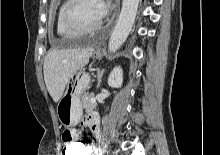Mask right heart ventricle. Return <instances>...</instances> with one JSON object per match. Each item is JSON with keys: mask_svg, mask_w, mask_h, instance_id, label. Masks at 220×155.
<instances>
[{"mask_svg": "<svg viewBox=\"0 0 220 155\" xmlns=\"http://www.w3.org/2000/svg\"><path fill=\"white\" fill-rule=\"evenodd\" d=\"M67 3H68V0H64L57 9L56 18H55L56 32L60 37H63V38H75L79 34H76V33H73L67 30L62 23V12Z\"/></svg>", "mask_w": 220, "mask_h": 155, "instance_id": "1", "label": "right heart ventricle"}]
</instances>
